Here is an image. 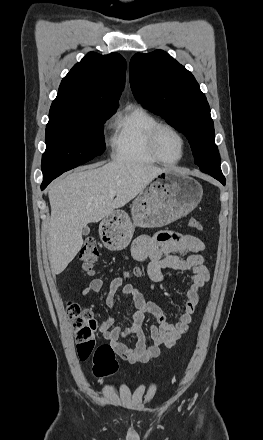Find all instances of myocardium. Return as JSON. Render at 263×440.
<instances>
[{
    "label": "myocardium",
    "instance_id": "obj_1",
    "mask_svg": "<svg viewBox=\"0 0 263 440\" xmlns=\"http://www.w3.org/2000/svg\"><path fill=\"white\" fill-rule=\"evenodd\" d=\"M163 129L171 130L181 140V144H182L181 156L178 159L174 160V161L165 160L164 158L161 157V155L158 152V149H157V139H158L159 133ZM148 148H149V151H150L151 155L158 162H160L162 164H165V165H174V164H177V163L181 162L183 160V158L185 157V154H186V151H187V140H186L185 136L183 135V133L178 128H176L174 125H172L170 123H166V122H158L149 132V135H148Z\"/></svg>",
    "mask_w": 263,
    "mask_h": 440
}]
</instances>
